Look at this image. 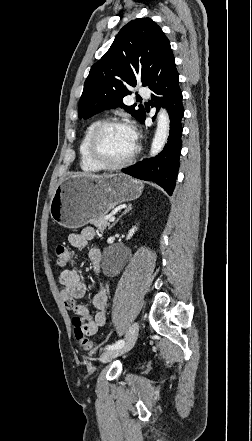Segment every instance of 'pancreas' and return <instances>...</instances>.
<instances>
[{"label": "pancreas", "instance_id": "1", "mask_svg": "<svg viewBox=\"0 0 252 441\" xmlns=\"http://www.w3.org/2000/svg\"><path fill=\"white\" fill-rule=\"evenodd\" d=\"M90 223L93 224L100 232H104V230L110 225V223L104 218L93 219L90 221Z\"/></svg>", "mask_w": 252, "mask_h": 441}]
</instances>
